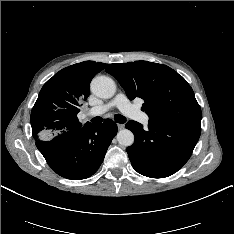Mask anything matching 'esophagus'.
<instances>
[{
  "mask_svg": "<svg viewBox=\"0 0 234 234\" xmlns=\"http://www.w3.org/2000/svg\"><path fill=\"white\" fill-rule=\"evenodd\" d=\"M118 130H122L125 128L124 124H117Z\"/></svg>",
  "mask_w": 234,
  "mask_h": 234,
  "instance_id": "34e87169",
  "label": "esophagus"
}]
</instances>
